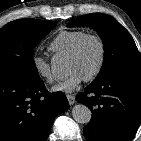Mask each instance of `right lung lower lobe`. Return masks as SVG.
Instances as JSON below:
<instances>
[{"instance_id": "right-lung-lower-lobe-1", "label": "right lung lower lobe", "mask_w": 141, "mask_h": 141, "mask_svg": "<svg viewBox=\"0 0 141 141\" xmlns=\"http://www.w3.org/2000/svg\"><path fill=\"white\" fill-rule=\"evenodd\" d=\"M69 107L39 77L0 78V141H46L54 118Z\"/></svg>"}]
</instances>
